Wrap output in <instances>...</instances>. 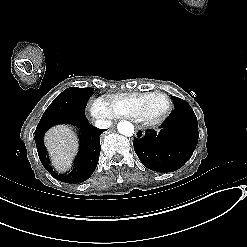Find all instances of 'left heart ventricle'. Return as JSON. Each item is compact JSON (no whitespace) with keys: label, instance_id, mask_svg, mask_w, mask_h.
<instances>
[{"label":"left heart ventricle","instance_id":"1","mask_svg":"<svg viewBox=\"0 0 247 247\" xmlns=\"http://www.w3.org/2000/svg\"><path fill=\"white\" fill-rule=\"evenodd\" d=\"M160 103H161V100L158 99V100H156V101L154 102V106H158Z\"/></svg>","mask_w":247,"mask_h":247}]
</instances>
